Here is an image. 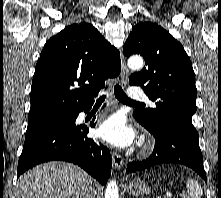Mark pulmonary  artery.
<instances>
[{
    "label": "pulmonary artery",
    "mask_w": 221,
    "mask_h": 198,
    "mask_svg": "<svg viewBox=\"0 0 221 198\" xmlns=\"http://www.w3.org/2000/svg\"><path fill=\"white\" fill-rule=\"evenodd\" d=\"M129 97L131 99L143 100V101H148L149 103H151L147 95L141 89H138V88H130Z\"/></svg>",
    "instance_id": "e3ab8cb5"
}]
</instances>
